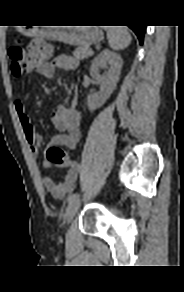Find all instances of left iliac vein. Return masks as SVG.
I'll return each instance as SVG.
<instances>
[{
    "mask_svg": "<svg viewBox=\"0 0 184 292\" xmlns=\"http://www.w3.org/2000/svg\"><path fill=\"white\" fill-rule=\"evenodd\" d=\"M79 207H80V201L79 200L73 201L68 205L67 210H66V215H65V221L66 222L69 223V222H71L73 220V218L75 217Z\"/></svg>",
    "mask_w": 184,
    "mask_h": 292,
    "instance_id": "obj_1",
    "label": "left iliac vein"
}]
</instances>
